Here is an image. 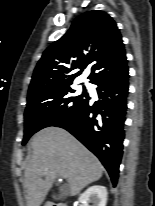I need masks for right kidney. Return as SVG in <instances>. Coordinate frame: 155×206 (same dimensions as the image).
<instances>
[{"label":"right kidney","mask_w":155,"mask_h":206,"mask_svg":"<svg viewBox=\"0 0 155 206\" xmlns=\"http://www.w3.org/2000/svg\"><path fill=\"white\" fill-rule=\"evenodd\" d=\"M107 189L101 185H94L89 187L82 193L78 199L80 206H106L107 203Z\"/></svg>","instance_id":"obj_1"}]
</instances>
